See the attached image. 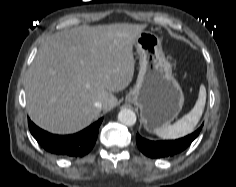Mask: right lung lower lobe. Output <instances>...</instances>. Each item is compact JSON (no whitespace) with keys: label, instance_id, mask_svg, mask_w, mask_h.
<instances>
[{"label":"right lung lower lobe","instance_id":"right-lung-lower-lobe-1","mask_svg":"<svg viewBox=\"0 0 236 187\" xmlns=\"http://www.w3.org/2000/svg\"><path fill=\"white\" fill-rule=\"evenodd\" d=\"M101 122L102 118L73 135H54L40 129L28 119L31 134L46 151L67 157H82L91 151Z\"/></svg>","mask_w":236,"mask_h":187}]
</instances>
